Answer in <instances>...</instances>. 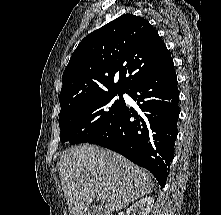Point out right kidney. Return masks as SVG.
<instances>
[{
    "label": "right kidney",
    "instance_id": "obj_1",
    "mask_svg": "<svg viewBox=\"0 0 221 215\" xmlns=\"http://www.w3.org/2000/svg\"><path fill=\"white\" fill-rule=\"evenodd\" d=\"M154 198L148 196L140 199L127 209V215H148L154 205Z\"/></svg>",
    "mask_w": 221,
    "mask_h": 215
}]
</instances>
